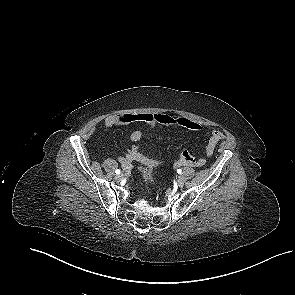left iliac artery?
Masks as SVG:
<instances>
[{
    "instance_id": "obj_1",
    "label": "left iliac artery",
    "mask_w": 295,
    "mask_h": 295,
    "mask_svg": "<svg viewBox=\"0 0 295 295\" xmlns=\"http://www.w3.org/2000/svg\"><path fill=\"white\" fill-rule=\"evenodd\" d=\"M182 170L181 169H177V173L181 174Z\"/></svg>"
}]
</instances>
